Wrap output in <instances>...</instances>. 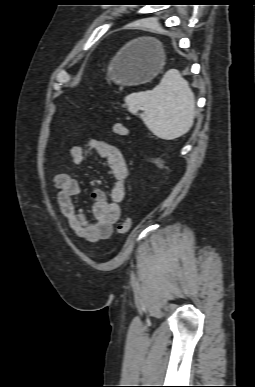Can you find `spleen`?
I'll return each instance as SVG.
<instances>
[{
  "label": "spleen",
  "instance_id": "1",
  "mask_svg": "<svg viewBox=\"0 0 255 387\" xmlns=\"http://www.w3.org/2000/svg\"><path fill=\"white\" fill-rule=\"evenodd\" d=\"M157 137L172 140L187 133L195 118V96L178 70H168L152 90L131 93L124 99ZM143 109V113L138 111Z\"/></svg>",
  "mask_w": 255,
  "mask_h": 387
}]
</instances>
